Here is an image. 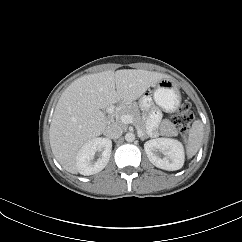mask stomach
<instances>
[{
    "mask_svg": "<svg viewBox=\"0 0 242 242\" xmlns=\"http://www.w3.org/2000/svg\"><path fill=\"white\" fill-rule=\"evenodd\" d=\"M153 97L155 102L167 112L175 111L181 101L178 85L169 78L162 79L155 85Z\"/></svg>",
    "mask_w": 242,
    "mask_h": 242,
    "instance_id": "stomach-1",
    "label": "stomach"
}]
</instances>
